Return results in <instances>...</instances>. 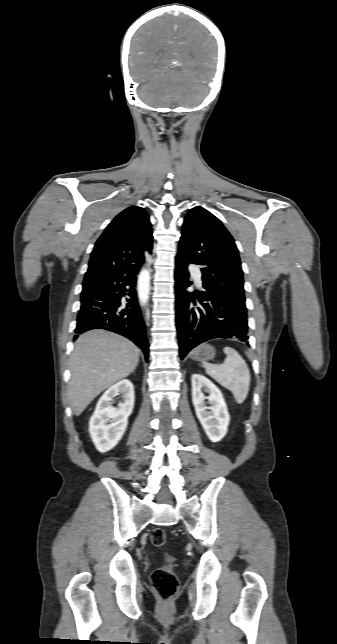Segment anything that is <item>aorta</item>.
<instances>
[{
    "instance_id": "aorta-1",
    "label": "aorta",
    "mask_w": 337,
    "mask_h": 644,
    "mask_svg": "<svg viewBox=\"0 0 337 644\" xmlns=\"http://www.w3.org/2000/svg\"><path fill=\"white\" fill-rule=\"evenodd\" d=\"M149 293V275L145 271L141 274L139 278V295L143 303L147 302Z\"/></svg>"
}]
</instances>
